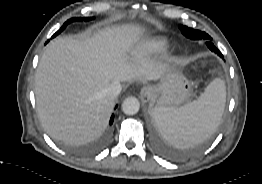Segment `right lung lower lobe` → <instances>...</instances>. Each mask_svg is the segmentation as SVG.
Here are the masks:
<instances>
[{
  "instance_id": "right-lung-lower-lobe-1",
  "label": "right lung lower lobe",
  "mask_w": 262,
  "mask_h": 184,
  "mask_svg": "<svg viewBox=\"0 0 262 184\" xmlns=\"http://www.w3.org/2000/svg\"><path fill=\"white\" fill-rule=\"evenodd\" d=\"M113 120H114V115L111 116V119H110V124L113 123Z\"/></svg>"
}]
</instances>
